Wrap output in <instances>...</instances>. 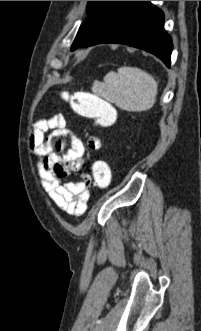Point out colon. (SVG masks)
<instances>
[{"mask_svg": "<svg viewBox=\"0 0 201 331\" xmlns=\"http://www.w3.org/2000/svg\"><path fill=\"white\" fill-rule=\"evenodd\" d=\"M72 109L85 118L94 122L99 128H106L116 121L115 108L98 94L78 91L68 97ZM56 150H60V140L55 142ZM93 184L100 190L109 187L111 183V170L104 161H95L92 164Z\"/></svg>", "mask_w": 201, "mask_h": 331, "instance_id": "5ec220e1", "label": "colon"}]
</instances>
